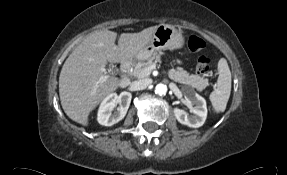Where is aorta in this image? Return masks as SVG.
I'll list each match as a JSON object with an SVG mask.
<instances>
[{"instance_id":"aorta-1","label":"aorta","mask_w":287,"mask_h":175,"mask_svg":"<svg viewBox=\"0 0 287 175\" xmlns=\"http://www.w3.org/2000/svg\"><path fill=\"white\" fill-rule=\"evenodd\" d=\"M155 92L158 95H165L167 92V86L165 84L159 83L155 87Z\"/></svg>"}]
</instances>
